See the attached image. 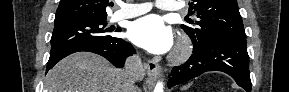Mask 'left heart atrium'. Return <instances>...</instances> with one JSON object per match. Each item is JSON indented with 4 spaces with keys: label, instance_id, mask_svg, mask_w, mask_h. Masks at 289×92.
I'll return each mask as SVG.
<instances>
[{
    "label": "left heart atrium",
    "instance_id": "left-heart-atrium-1",
    "mask_svg": "<svg viewBox=\"0 0 289 92\" xmlns=\"http://www.w3.org/2000/svg\"><path fill=\"white\" fill-rule=\"evenodd\" d=\"M128 36L133 43L155 54L168 52L174 43L170 28L157 15H148L134 21Z\"/></svg>",
    "mask_w": 289,
    "mask_h": 92
}]
</instances>
